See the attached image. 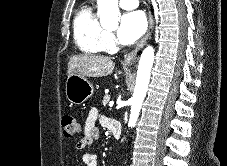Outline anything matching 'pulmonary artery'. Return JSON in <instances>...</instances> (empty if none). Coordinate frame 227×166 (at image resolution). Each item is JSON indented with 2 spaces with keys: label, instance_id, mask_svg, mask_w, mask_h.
<instances>
[{
  "label": "pulmonary artery",
  "instance_id": "1",
  "mask_svg": "<svg viewBox=\"0 0 227 166\" xmlns=\"http://www.w3.org/2000/svg\"><path fill=\"white\" fill-rule=\"evenodd\" d=\"M119 5L125 10H133L138 7V0H119Z\"/></svg>",
  "mask_w": 227,
  "mask_h": 166
}]
</instances>
